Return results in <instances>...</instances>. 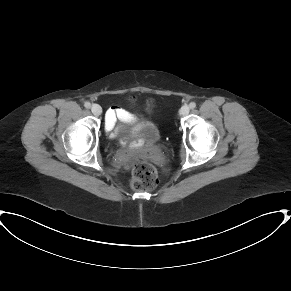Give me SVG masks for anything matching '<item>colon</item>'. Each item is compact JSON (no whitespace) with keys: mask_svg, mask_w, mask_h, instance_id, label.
<instances>
[{"mask_svg":"<svg viewBox=\"0 0 291 291\" xmlns=\"http://www.w3.org/2000/svg\"><path fill=\"white\" fill-rule=\"evenodd\" d=\"M148 107H153V103L150 102ZM132 173L131 186L136 191L150 190L158 184L155 169L141 155H136L132 158Z\"/></svg>","mask_w":291,"mask_h":291,"instance_id":"5ec220e1","label":"colon"}]
</instances>
